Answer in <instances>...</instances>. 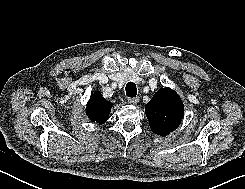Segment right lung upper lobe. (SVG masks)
<instances>
[{
  "label": "right lung upper lobe",
  "mask_w": 245,
  "mask_h": 189,
  "mask_svg": "<svg viewBox=\"0 0 245 189\" xmlns=\"http://www.w3.org/2000/svg\"><path fill=\"white\" fill-rule=\"evenodd\" d=\"M112 103L104 99L100 92H94L86 107V112L92 122L105 123L111 111Z\"/></svg>",
  "instance_id": "cb5924a9"
}]
</instances>
